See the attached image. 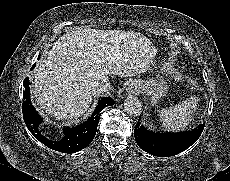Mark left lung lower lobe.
Returning a JSON list of instances; mask_svg holds the SVG:
<instances>
[{
  "label": "left lung lower lobe",
  "mask_w": 230,
  "mask_h": 181,
  "mask_svg": "<svg viewBox=\"0 0 230 181\" xmlns=\"http://www.w3.org/2000/svg\"><path fill=\"white\" fill-rule=\"evenodd\" d=\"M205 124L189 132L160 133L147 130L140 123L134 129V137L138 146L149 154L158 157L174 156L188 149L200 137Z\"/></svg>",
  "instance_id": "0a47b994"
}]
</instances>
